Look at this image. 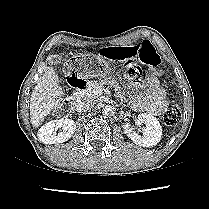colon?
<instances>
[{
  "label": "colon",
  "instance_id": "1",
  "mask_svg": "<svg viewBox=\"0 0 209 209\" xmlns=\"http://www.w3.org/2000/svg\"><path fill=\"white\" fill-rule=\"evenodd\" d=\"M99 54L109 59L123 61L126 66L141 62L150 67H157L160 64V55L156 48L149 42L143 41L137 45L130 47L107 48L101 47ZM141 71V70H140ZM181 119V110L176 105H169L163 113V121L173 127L179 123Z\"/></svg>",
  "mask_w": 209,
  "mask_h": 209
}]
</instances>
